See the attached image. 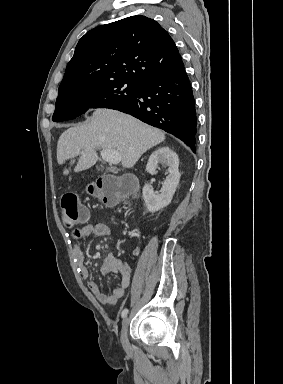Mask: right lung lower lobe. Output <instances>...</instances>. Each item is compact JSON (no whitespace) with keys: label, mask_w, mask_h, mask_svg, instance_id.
Segmentation results:
<instances>
[{"label":"right lung lower lobe","mask_w":283,"mask_h":384,"mask_svg":"<svg viewBox=\"0 0 283 384\" xmlns=\"http://www.w3.org/2000/svg\"><path fill=\"white\" fill-rule=\"evenodd\" d=\"M110 108L173 134L196 152L195 100L184 67L143 82L134 99Z\"/></svg>","instance_id":"obj_1"}]
</instances>
